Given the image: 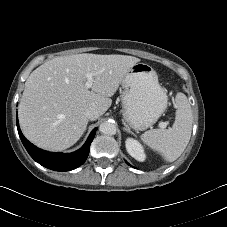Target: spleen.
Here are the masks:
<instances>
[{"label": "spleen", "instance_id": "3e777b00", "mask_svg": "<svg viewBox=\"0 0 227 227\" xmlns=\"http://www.w3.org/2000/svg\"><path fill=\"white\" fill-rule=\"evenodd\" d=\"M175 122L170 129H151L141 135V140L158 151L165 161L173 162L187 147L192 131V110L185 94L177 93Z\"/></svg>", "mask_w": 227, "mask_h": 227}]
</instances>
